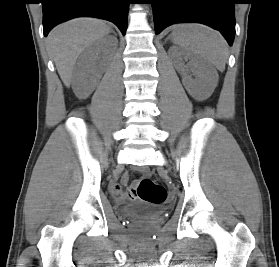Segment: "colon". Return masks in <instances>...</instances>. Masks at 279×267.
<instances>
[{"mask_svg": "<svg viewBox=\"0 0 279 267\" xmlns=\"http://www.w3.org/2000/svg\"><path fill=\"white\" fill-rule=\"evenodd\" d=\"M138 197L142 201L151 203V204H161L167 198V192L163 185L156 183L150 179L146 174H144L137 184Z\"/></svg>", "mask_w": 279, "mask_h": 267, "instance_id": "obj_1", "label": "colon"}]
</instances>
